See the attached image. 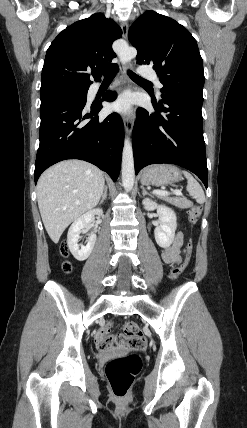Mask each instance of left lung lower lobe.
<instances>
[{"instance_id": "1", "label": "left lung lower lobe", "mask_w": 247, "mask_h": 428, "mask_svg": "<svg viewBox=\"0 0 247 428\" xmlns=\"http://www.w3.org/2000/svg\"><path fill=\"white\" fill-rule=\"evenodd\" d=\"M202 103L176 94L162 97L159 103L153 101V114L138 108L133 128L136 174L150 164L171 163L195 173L207 188Z\"/></svg>"}]
</instances>
